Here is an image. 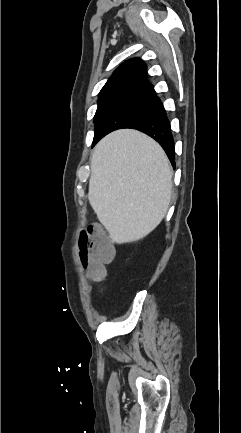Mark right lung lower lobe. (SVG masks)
Instances as JSON below:
<instances>
[{"label":"right lung lower lobe","mask_w":241,"mask_h":433,"mask_svg":"<svg viewBox=\"0 0 241 433\" xmlns=\"http://www.w3.org/2000/svg\"><path fill=\"white\" fill-rule=\"evenodd\" d=\"M123 128H133L155 139L165 150L174 166V140L165 109L159 98L154 95L151 103Z\"/></svg>","instance_id":"right-lung-lower-lobe-1"}]
</instances>
